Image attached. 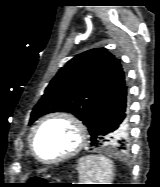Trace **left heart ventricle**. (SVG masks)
Returning <instances> with one entry per match:
<instances>
[{"mask_svg": "<svg viewBox=\"0 0 160 187\" xmlns=\"http://www.w3.org/2000/svg\"><path fill=\"white\" fill-rule=\"evenodd\" d=\"M77 140L78 135L70 123L53 119L40 129L36 137V151L45 160L55 159L72 150Z\"/></svg>", "mask_w": 160, "mask_h": 187, "instance_id": "left-heart-ventricle-1", "label": "left heart ventricle"}]
</instances>
